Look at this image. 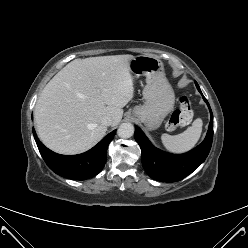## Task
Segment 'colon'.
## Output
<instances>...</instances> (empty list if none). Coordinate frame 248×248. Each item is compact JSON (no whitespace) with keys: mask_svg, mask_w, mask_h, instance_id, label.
<instances>
[{"mask_svg":"<svg viewBox=\"0 0 248 248\" xmlns=\"http://www.w3.org/2000/svg\"><path fill=\"white\" fill-rule=\"evenodd\" d=\"M192 114L191 99L186 95L181 96L179 99V108L172 113L167 122V128L173 130L177 127L188 124L192 118Z\"/></svg>","mask_w":248,"mask_h":248,"instance_id":"5ec220e1","label":"colon"}]
</instances>
